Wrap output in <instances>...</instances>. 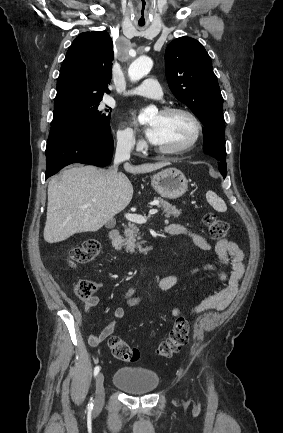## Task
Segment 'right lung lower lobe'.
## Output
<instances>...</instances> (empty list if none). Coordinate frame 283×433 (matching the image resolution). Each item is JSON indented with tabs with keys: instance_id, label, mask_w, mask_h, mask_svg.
<instances>
[{
	"instance_id": "1",
	"label": "right lung lower lobe",
	"mask_w": 283,
	"mask_h": 433,
	"mask_svg": "<svg viewBox=\"0 0 283 433\" xmlns=\"http://www.w3.org/2000/svg\"><path fill=\"white\" fill-rule=\"evenodd\" d=\"M113 138L94 126H54L46 147L45 179L72 163L104 167L111 162Z\"/></svg>"
}]
</instances>
